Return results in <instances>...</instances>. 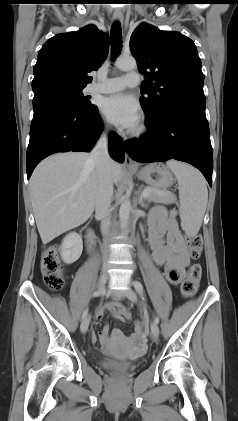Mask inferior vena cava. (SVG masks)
<instances>
[{"label":"inferior vena cava","instance_id":"obj_1","mask_svg":"<svg viewBox=\"0 0 238 421\" xmlns=\"http://www.w3.org/2000/svg\"><path fill=\"white\" fill-rule=\"evenodd\" d=\"M89 162L95 165L98 176V188L95 200L96 216L101 218V232L106 234L110 224V205L113 195V183L110 171L107 131L103 132L92 149Z\"/></svg>","mask_w":238,"mask_h":421}]
</instances>
